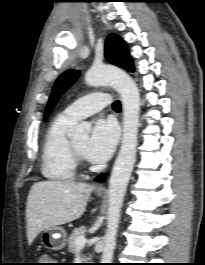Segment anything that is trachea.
I'll list each match as a JSON object with an SVG mask.
<instances>
[{
	"label": "trachea",
	"mask_w": 205,
	"mask_h": 265,
	"mask_svg": "<svg viewBox=\"0 0 205 265\" xmlns=\"http://www.w3.org/2000/svg\"><path fill=\"white\" fill-rule=\"evenodd\" d=\"M113 109L116 110V111H118V110L121 109V103H120V101H115L113 103Z\"/></svg>",
	"instance_id": "obj_1"
}]
</instances>
